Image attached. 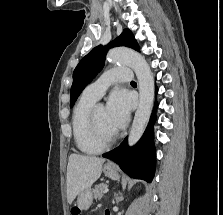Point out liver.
<instances>
[{
	"label": "liver",
	"instance_id": "obj_1",
	"mask_svg": "<svg viewBox=\"0 0 223 215\" xmlns=\"http://www.w3.org/2000/svg\"><path fill=\"white\" fill-rule=\"evenodd\" d=\"M105 159L95 155H78L71 153L67 165V201L72 203L76 195L89 189L98 179Z\"/></svg>",
	"mask_w": 223,
	"mask_h": 215
}]
</instances>
